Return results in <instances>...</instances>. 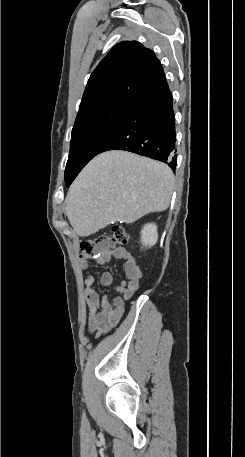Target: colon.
<instances>
[{
    "label": "colon",
    "mask_w": 245,
    "mask_h": 457,
    "mask_svg": "<svg viewBox=\"0 0 245 457\" xmlns=\"http://www.w3.org/2000/svg\"><path fill=\"white\" fill-rule=\"evenodd\" d=\"M128 241V235L123 227L113 226L111 233L99 234L82 241L80 246V258L89 259L107 251L115 246L125 245Z\"/></svg>",
    "instance_id": "5ec220e1"
}]
</instances>
